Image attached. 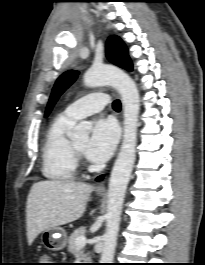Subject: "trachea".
I'll return each mask as SVG.
<instances>
[{"instance_id":"trachea-1","label":"trachea","mask_w":205,"mask_h":265,"mask_svg":"<svg viewBox=\"0 0 205 265\" xmlns=\"http://www.w3.org/2000/svg\"><path fill=\"white\" fill-rule=\"evenodd\" d=\"M113 109L116 111H119L121 109V103L118 99L113 102Z\"/></svg>"}]
</instances>
